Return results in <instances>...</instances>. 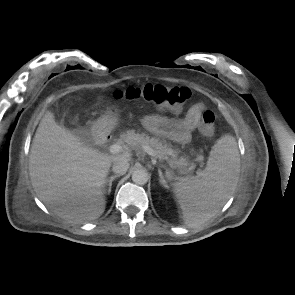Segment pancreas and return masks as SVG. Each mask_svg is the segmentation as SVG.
I'll use <instances>...</instances> for the list:
<instances>
[{
  "instance_id": "1",
  "label": "pancreas",
  "mask_w": 295,
  "mask_h": 295,
  "mask_svg": "<svg viewBox=\"0 0 295 295\" xmlns=\"http://www.w3.org/2000/svg\"><path fill=\"white\" fill-rule=\"evenodd\" d=\"M122 140L131 146H149L160 160H167L171 167L179 168L186 171H192L195 164L187 158H177L176 152L167 144H163L158 138H150L145 133H136L135 130H129L122 135Z\"/></svg>"
}]
</instances>
